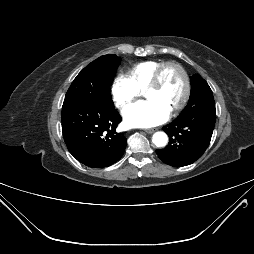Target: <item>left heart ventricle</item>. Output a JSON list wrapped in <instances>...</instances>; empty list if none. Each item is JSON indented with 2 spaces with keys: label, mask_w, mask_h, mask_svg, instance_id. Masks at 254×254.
Masks as SVG:
<instances>
[{
  "label": "left heart ventricle",
  "mask_w": 254,
  "mask_h": 254,
  "mask_svg": "<svg viewBox=\"0 0 254 254\" xmlns=\"http://www.w3.org/2000/svg\"><path fill=\"white\" fill-rule=\"evenodd\" d=\"M183 89L184 83L181 73L173 67H168L162 74L160 85L147 91L146 97L157 101L171 112L180 101Z\"/></svg>",
  "instance_id": "b2bd125f"
}]
</instances>
